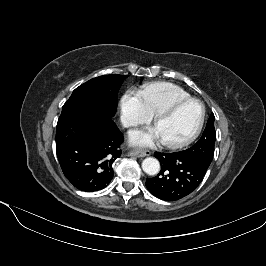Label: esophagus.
I'll list each match as a JSON object with an SVG mask.
<instances>
[{
    "instance_id": "obj_1",
    "label": "esophagus",
    "mask_w": 266,
    "mask_h": 266,
    "mask_svg": "<svg viewBox=\"0 0 266 266\" xmlns=\"http://www.w3.org/2000/svg\"><path fill=\"white\" fill-rule=\"evenodd\" d=\"M151 153L149 151H131L128 153L129 156H134V157H145L149 156Z\"/></svg>"
}]
</instances>
